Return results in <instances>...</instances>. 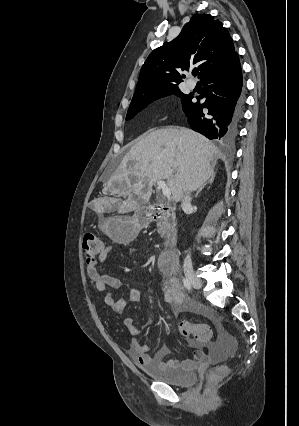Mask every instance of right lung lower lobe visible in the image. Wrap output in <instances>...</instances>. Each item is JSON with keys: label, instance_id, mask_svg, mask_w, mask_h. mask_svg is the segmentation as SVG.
Returning <instances> with one entry per match:
<instances>
[{"label": "right lung lower lobe", "instance_id": "1", "mask_svg": "<svg viewBox=\"0 0 299 426\" xmlns=\"http://www.w3.org/2000/svg\"><path fill=\"white\" fill-rule=\"evenodd\" d=\"M201 82L205 85L204 93L196 97L198 102H191L183 108L192 129L209 139H227L236 131L242 114V73L238 54L223 67L207 73ZM208 113L204 114L203 109Z\"/></svg>", "mask_w": 299, "mask_h": 426}]
</instances>
